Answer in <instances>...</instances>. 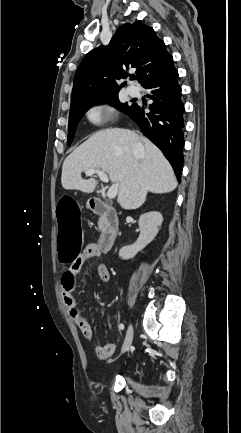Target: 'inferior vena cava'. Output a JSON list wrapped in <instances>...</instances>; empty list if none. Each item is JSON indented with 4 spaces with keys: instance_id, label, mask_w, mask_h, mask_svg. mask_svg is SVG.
Returning a JSON list of instances; mask_svg holds the SVG:
<instances>
[{
    "instance_id": "602c4592",
    "label": "inferior vena cava",
    "mask_w": 241,
    "mask_h": 433,
    "mask_svg": "<svg viewBox=\"0 0 241 433\" xmlns=\"http://www.w3.org/2000/svg\"><path fill=\"white\" fill-rule=\"evenodd\" d=\"M142 148H143V145H142L141 142H137V143L134 145V151H135V152H139V151H141Z\"/></svg>"
}]
</instances>
